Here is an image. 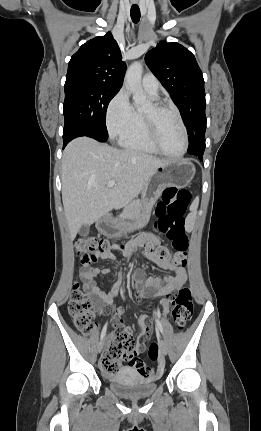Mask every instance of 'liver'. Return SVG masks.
<instances>
[{
	"label": "liver",
	"instance_id": "liver-1",
	"mask_svg": "<svg viewBox=\"0 0 261 431\" xmlns=\"http://www.w3.org/2000/svg\"><path fill=\"white\" fill-rule=\"evenodd\" d=\"M168 163L143 152L120 150L79 137L62 157V201L71 239L138 196L155 171ZM115 180L113 187H108Z\"/></svg>",
	"mask_w": 261,
	"mask_h": 431
}]
</instances>
